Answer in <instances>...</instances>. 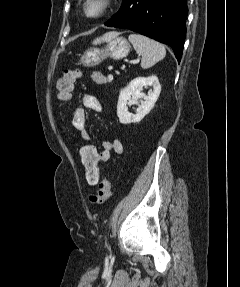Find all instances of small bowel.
I'll return each instance as SVG.
<instances>
[{"mask_svg":"<svg viewBox=\"0 0 240 287\" xmlns=\"http://www.w3.org/2000/svg\"><path fill=\"white\" fill-rule=\"evenodd\" d=\"M100 112L102 105L100 100L91 94H85L82 98V105L77 107L71 117L72 126L79 131L83 140H90V134L86 126L85 110ZM102 149L98 151V158L101 162H107L111 159L112 152L120 154L123 151V145L118 139L104 140L101 144Z\"/></svg>","mask_w":240,"mask_h":287,"instance_id":"c3829d8e","label":"small bowel"}]
</instances>
